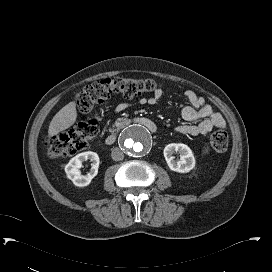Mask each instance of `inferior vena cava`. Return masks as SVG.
<instances>
[{"mask_svg":"<svg viewBox=\"0 0 272 272\" xmlns=\"http://www.w3.org/2000/svg\"><path fill=\"white\" fill-rule=\"evenodd\" d=\"M111 157L115 161H121L124 159V153L118 147L112 149Z\"/></svg>","mask_w":272,"mask_h":272,"instance_id":"1","label":"inferior vena cava"}]
</instances>
